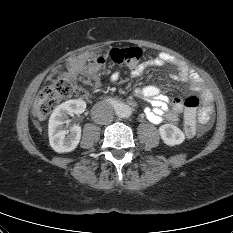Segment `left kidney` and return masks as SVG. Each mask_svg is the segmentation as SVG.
Segmentation results:
<instances>
[{
	"label": "left kidney",
	"mask_w": 233,
	"mask_h": 233,
	"mask_svg": "<svg viewBox=\"0 0 233 233\" xmlns=\"http://www.w3.org/2000/svg\"><path fill=\"white\" fill-rule=\"evenodd\" d=\"M159 134L164 143L169 146L179 145L185 140L184 133L172 124H164L160 126Z\"/></svg>",
	"instance_id": "1"
}]
</instances>
